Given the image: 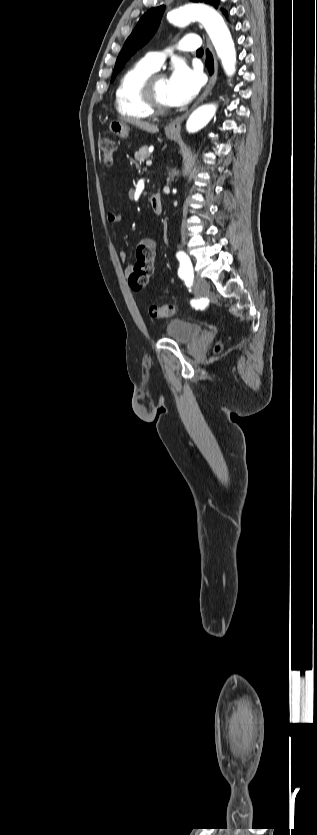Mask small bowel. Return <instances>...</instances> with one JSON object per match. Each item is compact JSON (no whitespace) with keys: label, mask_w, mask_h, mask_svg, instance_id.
Here are the masks:
<instances>
[{"label":"small bowel","mask_w":317,"mask_h":835,"mask_svg":"<svg viewBox=\"0 0 317 835\" xmlns=\"http://www.w3.org/2000/svg\"><path fill=\"white\" fill-rule=\"evenodd\" d=\"M107 221L110 224H118L121 221V216L118 212L114 210H109L107 213ZM156 255V244L151 238H145L140 241L137 247L136 257L137 260L139 258L144 259L145 261L153 262ZM119 258L121 261H125L127 259V254L125 251H119ZM132 267H129L128 270L131 272Z\"/></svg>","instance_id":"1"}]
</instances>
